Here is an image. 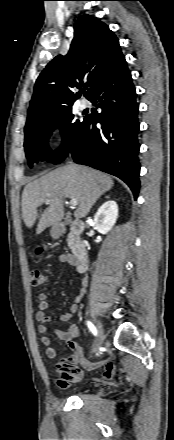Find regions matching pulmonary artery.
Segmentation results:
<instances>
[{
  "label": "pulmonary artery",
  "instance_id": "1",
  "mask_svg": "<svg viewBox=\"0 0 174 440\" xmlns=\"http://www.w3.org/2000/svg\"><path fill=\"white\" fill-rule=\"evenodd\" d=\"M80 109H85L89 107V102L87 100H82L79 104Z\"/></svg>",
  "mask_w": 174,
  "mask_h": 440
}]
</instances>
